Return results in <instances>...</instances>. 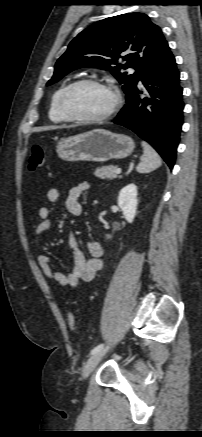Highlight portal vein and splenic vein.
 I'll use <instances>...</instances> for the list:
<instances>
[{
  "mask_svg": "<svg viewBox=\"0 0 202 437\" xmlns=\"http://www.w3.org/2000/svg\"><path fill=\"white\" fill-rule=\"evenodd\" d=\"M115 173H116V174H120V173H121V169H120V168H117L116 171H115Z\"/></svg>",
  "mask_w": 202,
  "mask_h": 437,
  "instance_id": "portal-vein-and-splenic-vein-1",
  "label": "portal vein and splenic vein"
}]
</instances>
